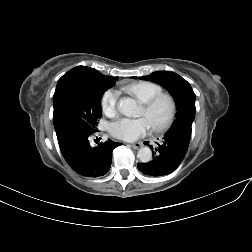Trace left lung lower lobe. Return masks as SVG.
<instances>
[{
	"label": "left lung lower lobe",
	"mask_w": 252,
	"mask_h": 252,
	"mask_svg": "<svg viewBox=\"0 0 252 252\" xmlns=\"http://www.w3.org/2000/svg\"><path fill=\"white\" fill-rule=\"evenodd\" d=\"M191 126V124L183 122L170 128L156 148L151 146L153 160L147 163H138V169L144 175L152 177L164 176L176 170L188 150Z\"/></svg>",
	"instance_id": "1"
}]
</instances>
